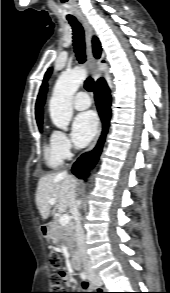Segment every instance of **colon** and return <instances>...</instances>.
Here are the masks:
<instances>
[{
  "mask_svg": "<svg viewBox=\"0 0 170 293\" xmlns=\"http://www.w3.org/2000/svg\"><path fill=\"white\" fill-rule=\"evenodd\" d=\"M49 260L54 269V273L50 278V283L53 288V292L49 293H62L59 291H61L64 284L68 282L67 274L62 269V262L58 255L52 254Z\"/></svg>",
  "mask_w": 170,
  "mask_h": 293,
  "instance_id": "colon-1",
  "label": "colon"
}]
</instances>
